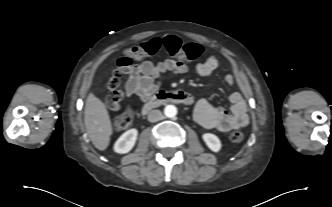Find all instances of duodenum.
Returning a JSON list of instances; mask_svg holds the SVG:
<instances>
[{"label":"duodenum","mask_w":332,"mask_h":207,"mask_svg":"<svg viewBox=\"0 0 332 207\" xmlns=\"http://www.w3.org/2000/svg\"><path fill=\"white\" fill-rule=\"evenodd\" d=\"M167 103L191 105L192 97L184 91H159L142 107V114L146 115L151 110Z\"/></svg>","instance_id":"1"}]
</instances>
